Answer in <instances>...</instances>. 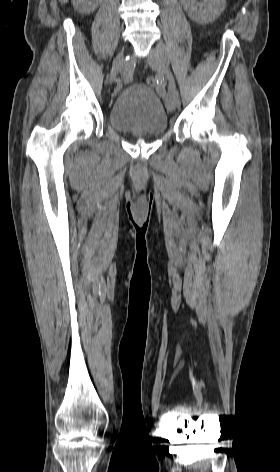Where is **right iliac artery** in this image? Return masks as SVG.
Returning a JSON list of instances; mask_svg holds the SVG:
<instances>
[{"label": "right iliac artery", "instance_id": "1", "mask_svg": "<svg viewBox=\"0 0 280 472\" xmlns=\"http://www.w3.org/2000/svg\"><path fill=\"white\" fill-rule=\"evenodd\" d=\"M135 65H136V60L134 58H129V57L126 58L125 69L122 74V77L125 82L132 80L133 73L135 70Z\"/></svg>", "mask_w": 280, "mask_h": 472}]
</instances>
